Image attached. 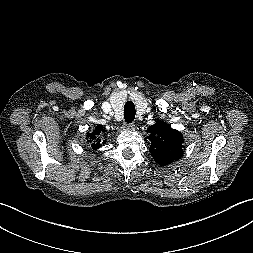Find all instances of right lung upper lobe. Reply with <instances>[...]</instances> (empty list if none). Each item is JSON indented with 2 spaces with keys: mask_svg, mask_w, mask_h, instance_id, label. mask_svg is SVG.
Returning a JSON list of instances; mask_svg holds the SVG:
<instances>
[{
  "mask_svg": "<svg viewBox=\"0 0 253 253\" xmlns=\"http://www.w3.org/2000/svg\"><path fill=\"white\" fill-rule=\"evenodd\" d=\"M103 126L98 125L92 133H87V137H89V142L91 143V147L96 150L99 149L103 144L106 143V140L100 139V134L103 132Z\"/></svg>",
  "mask_w": 253,
  "mask_h": 253,
  "instance_id": "cb5924a9",
  "label": "right lung upper lobe"
}]
</instances>
